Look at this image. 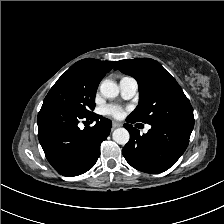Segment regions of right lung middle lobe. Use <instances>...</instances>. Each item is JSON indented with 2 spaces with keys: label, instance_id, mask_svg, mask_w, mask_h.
I'll list each match as a JSON object with an SVG mask.
<instances>
[{
  "label": "right lung middle lobe",
  "instance_id": "dd1d6c3e",
  "mask_svg": "<svg viewBox=\"0 0 224 224\" xmlns=\"http://www.w3.org/2000/svg\"><path fill=\"white\" fill-rule=\"evenodd\" d=\"M99 82L72 69H68L53 85L42 106L68 110L81 117L92 115Z\"/></svg>",
  "mask_w": 224,
  "mask_h": 224
}]
</instances>
